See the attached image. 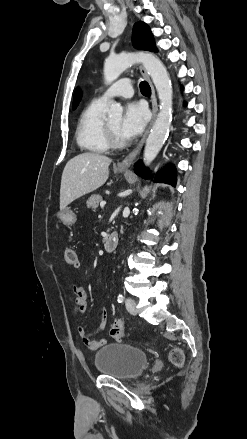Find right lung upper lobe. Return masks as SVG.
Masks as SVG:
<instances>
[{"label": "right lung upper lobe", "mask_w": 247, "mask_h": 439, "mask_svg": "<svg viewBox=\"0 0 247 439\" xmlns=\"http://www.w3.org/2000/svg\"><path fill=\"white\" fill-rule=\"evenodd\" d=\"M81 91L80 89H76L75 94H74V101H73V108L75 109L78 106V103L81 99Z\"/></svg>", "instance_id": "1"}]
</instances>
